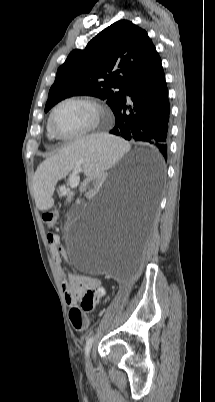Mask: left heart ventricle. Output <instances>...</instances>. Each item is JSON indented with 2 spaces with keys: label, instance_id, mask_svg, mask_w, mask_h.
Instances as JSON below:
<instances>
[{
  "label": "left heart ventricle",
  "instance_id": "1",
  "mask_svg": "<svg viewBox=\"0 0 215 402\" xmlns=\"http://www.w3.org/2000/svg\"><path fill=\"white\" fill-rule=\"evenodd\" d=\"M93 117L90 106L83 103H67L56 111L53 126L59 134L73 135L88 128Z\"/></svg>",
  "mask_w": 215,
  "mask_h": 402
}]
</instances>
